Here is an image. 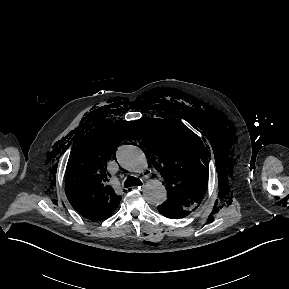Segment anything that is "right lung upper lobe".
<instances>
[{
  "label": "right lung upper lobe",
  "instance_id": "cb5924a9",
  "mask_svg": "<svg viewBox=\"0 0 289 289\" xmlns=\"http://www.w3.org/2000/svg\"><path fill=\"white\" fill-rule=\"evenodd\" d=\"M129 131V122H111L91 130L74 148L67 166L66 196L83 217L103 220L119 205L121 196L107 184L106 162L115 156L116 147Z\"/></svg>",
  "mask_w": 289,
  "mask_h": 289
}]
</instances>
